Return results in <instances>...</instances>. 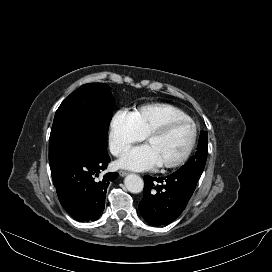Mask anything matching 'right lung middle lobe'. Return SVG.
<instances>
[{"label": "right lung middle lobe", "mask_w": 272, "mask_h": 272, "mask_svg": "<svg viewBox=\"0 0 272 272\" xmlns=\"http://www.w3.org/2000/svg\"><path fill=\"white\" fill-rule=\"evenodd\" d=\"M113 107L111 89L103 83L84 84L70 94L54 117L49 139L50 167L81 146L107 149Z\"/></svg>", "instance_id": "1"}]
</instances>
